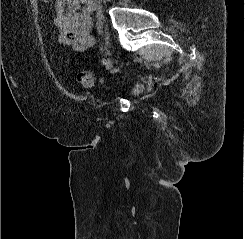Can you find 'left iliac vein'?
Listing matches in <instances>:
<instances>
[{
	"label": "left iliac vein",
	"mask_w": 245,
	"mask_h": 239,
	"mask_svg": "<svg viewBox=\"0 0 245 239\" xmlns=\"http://www.w3.org/2000/svg\"><path fill=\"white\" fill-rule=\"evenodd\" d=\"M112 65H113L112 59L111 58H107L106 63H105L106 69L107 70L111 69Z\"/></svg>",
	"instance_id": "1"
}]
</instances>
